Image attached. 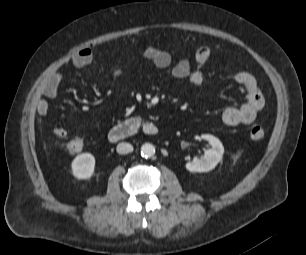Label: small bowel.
Instances as JSON below:
<instances>
[{
  "instance_id": "small-bowel-1",
  "label": "small bowel",
  "mask_w": 306,
  "mask_h": 255,
  "mask_svg": "<svg viewBox=\"0 0 306 255\" xmlns=\"http://www.w3.org/2000/svg\"><path fill=\"white\" fill-rule=\"evenodd\" d=\"M143 56L158 69L166 70L173 78L186 81L194 86H202L209 79L197 69L192 67V62L188 58H183L172 64L171 54L165 50L155 47H147ZM212 56V50L208 46L198 48L194 54V62L198 65L206 64ZM93 58L91 49H80L71 59L70 65L76 68L88 65ZM124 74L123 68H115L111 71L112 78H119ZM62 74L55 72L49 75L41 84L36 100V109L39 115L45 116L48 112L47 99L56 97ZM234 81L242 87L245 94V102L238 107H227L222 112V121L227 126L249 125L253 123L258 112L264 106V98L258 87L255 77L249 72H238L234 76ZM53 133L59 138H65L68 133L63 127L56 126Z\"/></svg>"
}]
</instances>
